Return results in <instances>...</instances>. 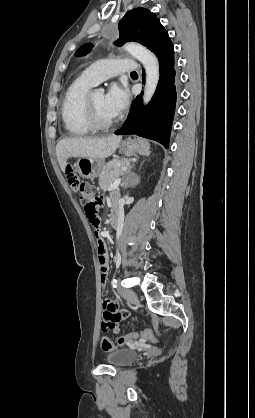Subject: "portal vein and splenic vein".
<instances>
[{"instance_id": "portal-vein-and-splenic-vein-1", "label": "portal vein and splenic vein", "mask_w": 255, "mask_h": 418, "mask_svg": "<svg viewBox=\"0 0 255 418\" xmlns=\"http://www.w3.org/2000/svg\"><path fill=\"white\" fill-rule=\"evenodd\" d=\"M123 170H125V168H123ZM121 183V178H117L113 184L110 185V187L108 188V191H111L113 189H116L119 184Z\"/></svg>"}]
</instances>
